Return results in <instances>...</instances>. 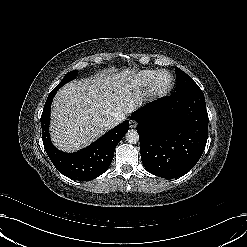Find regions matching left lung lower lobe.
<instances>
[{
    "label": "left lung lower lobe",
    "mask_w": 247,
    "mask_h": 247,
    "mask_svg": "<svg viewBox=\"0 0 247 247\" xmlns=\"http://www.w3.org/2000/svg\"><path fill=\"white\" fill-rule=\"evenodd\" d=\"M138 122L141 160L162 178L188 173L200 159L208 137V114L201 89L160 98L132 115Z\"/></svg>",
    "instance_id": "left-lung-lower-lobe-1"
}]
</instances>
